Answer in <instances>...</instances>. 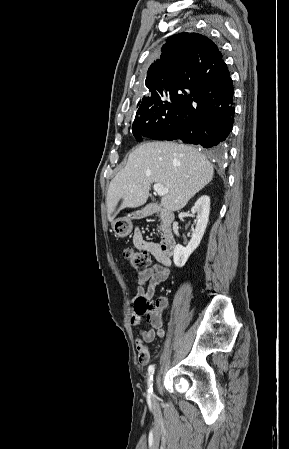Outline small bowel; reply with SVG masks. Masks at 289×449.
I'll list each match as a JSON object with an SVG mask.
<instances>
[{"label":"small bowel","mask_w":289,"mask_h":449,"mask_svg":"<svg viewBox=\"0 0 289 449\" xmlns=\"http://www.w3.org/2000/svg\"><path fill=\"white\" fill-rule=\"evenodd\" d=\"M133 244L136 248L150 253L157 264L138 274V289L133 299V308L131 312V324L138 326L142 323L141 312L137 308V301L140 298L150 300L156 287L165 282L169 277L170 258L162 253L159 244L146 240L141 231L136 229L133 234ZM166 305V300H160L159 309L147 315V321L152 328L140 329L136 340V348L138 351L139 362L143 365L150 360V351L148 345L153 343L157 334L161 335L162 331V310Z\"/></svg>","instance_id":"small-bowel-1"}]
</instances>
